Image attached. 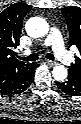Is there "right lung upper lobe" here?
Instances as JSON below:
<instances>
[{"label": "right lung upper lobe", "instance_id": "obj_1", "mask_svg": "<svg viewBox=\"0 0 81 124\" xmlns=\"http://www.w3.org/2000/svg\"><path fill=\"white\" fill-rule=\"evenodd\" d=\"M31 10L26 3H15L0 13V87L16 79L32 63L16 58L23 19Z\"/></svg>", "mask_w": 81, "mask_h": 124}]
</instances>
